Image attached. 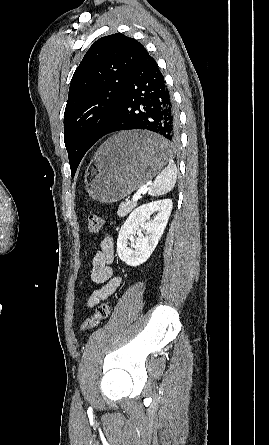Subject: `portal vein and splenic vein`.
<instances>
[{
  "instance_id": "portal-vein-and-splenic-vein-1",
  "label": "portal vein and splenic vein",
  "mask_w": 269,
  "mask_h": 445,
  "mask_svg": "<svg viewBox=\"0 0 269 445\" xmlns=\"http://www.w3.org/2000/svg\"><path fill=\"white\" fill-rule=\"evenodd\" d=\"M146 188H147V185L142 186V187H141V188H140V189L133 195L132 200H133L134 202H136V201L139 199L141 193H142L143 191H145Z\"/></svg>"
}]
</instances>
